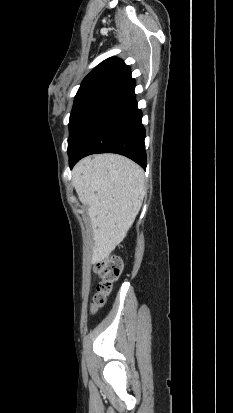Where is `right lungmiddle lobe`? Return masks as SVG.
<instances>
[{
	"mask_svg": "<svg viewBox=\"0 0 233 413\" xmlns=\"http://www.w3.org/2000/svg\"><path fill=\"white\" fill-rule=\"evenodd\" d=\"M114 83V80H99L81 86L78 90L70 115L68 154L73 148L89 116Z\"/></svg>",
	"mask_w": 233,
	"mask_h": 413,
	"instance_id": "right-lung-middle-lobe-1",
	"label": "right lung middle lobe"
}]
</instances>
